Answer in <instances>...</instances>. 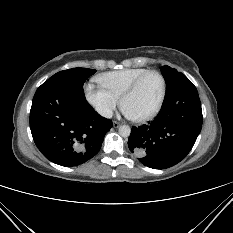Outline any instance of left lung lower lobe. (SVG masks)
<instances>
[{
  "mask_svg": "<svg viewBox=\"0 0 233 233\" xmlns=\"http://www.w3.org/2000/svg\"><path fill=\"white\" fill-rule=\"evenodd\" d=\"M202 127V109L196 87L179 73L166 90L156 118L132 127L128 146L139 161L153 169H165L183 160Z\"/></svg>",
  "mask_w": 233,
  "mask_h": 233,
  "instance_id": "0a47b994",
  "label": "left lung lower lobe"
}]
</instances>
